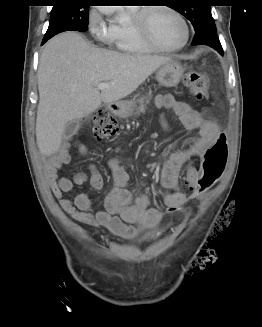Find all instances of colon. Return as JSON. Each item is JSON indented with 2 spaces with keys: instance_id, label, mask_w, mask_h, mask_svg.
I'll return each mask as SVG.
<instances>
[{
  "instance_id": "colon-1",
  "label": "colon",
  "mask_w": 262,
  "mask_h": 327,
  "mask_svg": "<svg viewBox=\"0 0 262 327\" xmlns=\"http://www.w3.org/2000/svg\"><path fill=\"white\" fill-rule=\"evenodd\" d=\"M184 84L189 93L202 99L208 93V78L206 75L190 71L184 77ZM118 131L115 119L106 109H100L93 117V134L98 140L113 136ZM228 155L227 140L224 134H220L217 140L206 149L197 163L198 178L195 189L187 196L182 205L169 208V212L182 211L185 206L197 200L205 191L214 185L222 174Z\"/></svg>"
}]
</instances>
